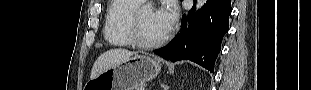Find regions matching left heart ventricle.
<instances>
[{
    "label": "left heart ventricle",
    "mask_w": 311,
    "mask_h": 90,
    "mask_svg": "<svg viewBox=\"0 0 311 90\" xmlns=\"http://www.w3.org/2000/svg\"><path fill=\"white\" fill-rule=\"evenodd\" d=\"M141 32L145 40L155 41L166 34V30L156 17V11L151 7H144L141 14Z\"/></svg>",
    "instance_id": "left-heart-ventricle-1"
}]
</instances>
